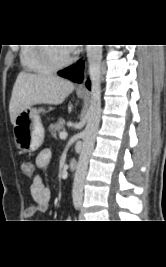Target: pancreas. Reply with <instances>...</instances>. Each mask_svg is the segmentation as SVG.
<instances>
[{"mask_svg":"<svg viewBox=\"0 0 166 267\" xmlns=\"http://www.w3.org/2000/svg\"><path fill=\"white\" fill-rule=\"evenodd\" d=\"M65 122L63 119H59L57 123L50 126L51 134L53 137H56L61 130H63Z\"/></svg>","mask_w":166,"mask_h":267,"instance_id":"1","label":"pancreas"}]
</instances>
